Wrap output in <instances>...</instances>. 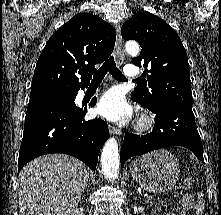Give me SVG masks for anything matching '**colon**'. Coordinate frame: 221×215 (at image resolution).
Masks as SVG:
<instances>
[{
  "mask_svg": "<svg viewBox=\"0 0 221 215\" xmlns=\"http://www.w3.org/2000/svg\"><path fill=\"white\" fill-rule=\"evenodd\" d=\"M189 186L191 185V180H188ZM182 206L184 210V215H196L193 208V194L188 192L182 199Z\"/></svg>",
  "mask_w": 221,
  "mask_h": 215,
  "instance_id": "colon-1",
  "label": "colon"
}]
</instances>
